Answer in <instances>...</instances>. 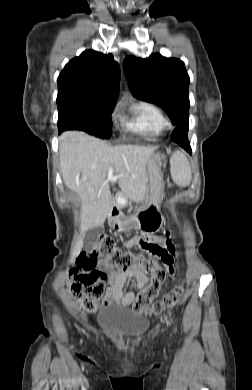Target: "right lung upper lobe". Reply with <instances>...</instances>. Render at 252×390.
<instances>
[{
	"label": "right lung upper lobe",
	"mask_w": 252,
	"mask_h": 390,
	"mask_svg": "<svg viewBox=\"0 0 252 390\" xmlns=\"http://www.w3.org/2000/svg\"><path fill=\"white\" fill-rule=\"evenodd\" d=\"M120 70L112 54L84 51L69 61L58 76L57 105L103 104L114 107Z\"/></svg>",
	"instance_id": "cb5924a9"
}]
</instances>
